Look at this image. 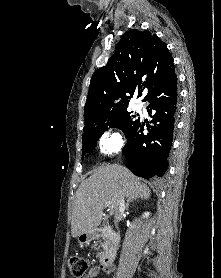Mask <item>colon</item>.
<instances>
[{
	"instance_id": "obj_1",
	"label": "colon",
	"mask_w": 221,
	"mask_h": 278,
	"mask_svg": "<svg viewBox=\"0 0 221 278\" xmlns=\"http://www.w3.org/2000/svg\"><path fill=\"white\" fill-rule=\"evenodd\" d=\"M69 268L75 278H86L90 270V261L84 257H72Z\"/></svg>"
}]
</instances>
